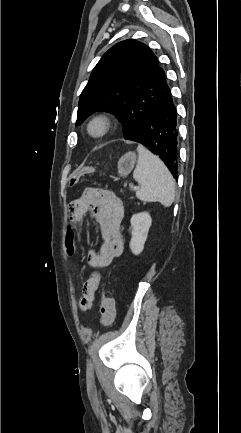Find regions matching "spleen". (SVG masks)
I'll return each mask as SVG.
<instances>
[{
	"label": "spleen",
	"instance_id": "spleen-1",
	"mask_svg": "<svg viewBox=\"0 0 241 433\" xmlns=\"http://www.w3.org/2000/svg\"><path fill=\"white\" fill-rule=\"evenodd\" d=\"M139 154L134 179L140 188L136 197L143 202H159L170 207L175 198V181L161 159L142 145L137 147Z\"/></svg>",
	"mask_w": 241,
	"mask_h": 433
}]
</instances>
